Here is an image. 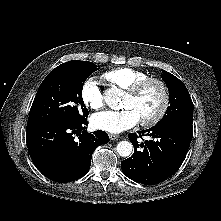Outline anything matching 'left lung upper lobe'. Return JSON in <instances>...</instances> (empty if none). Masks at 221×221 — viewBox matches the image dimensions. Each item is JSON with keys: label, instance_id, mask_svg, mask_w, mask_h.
<instances>
[{"label": "left lung upper lobe", "instance_id": "5c2ea615", "mask_svg": "<svg viewBox=\"0 0 221 221\" xmlns=\"http://www.w3.org/2000/svg\"><path fill=\"white\" fill-rule=\"evenodd\" d=\"M162 72V78L169 89L170 106L164 117L154 127L175 123L192 125L193 102L186 86L173 74L164 70Z\"/></svg>", "mask_w": 221, "mask_h": 221}]
</instances>
